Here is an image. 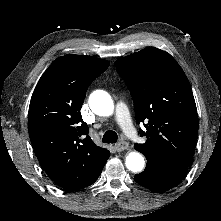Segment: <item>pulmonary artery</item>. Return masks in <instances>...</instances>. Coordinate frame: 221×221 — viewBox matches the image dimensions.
Here are the masks:
<instances>
[{
  "label": "pulmonary artery",
  "instance_id": "1",
  "mask_svg": "<svg viewBox=\"0 0 221 221\" xmlns=\"http://www.w3.org/2000/svg\"><path fill=\"white\" fill-rule=\"evenodd\" d=\"M115 120L128 136L136 137V131L132 125L128 108L123 102H118L116 105Z\"/></svg>",
  "mask_w": 221,
  "mask_h": 221
}]
</instances>
